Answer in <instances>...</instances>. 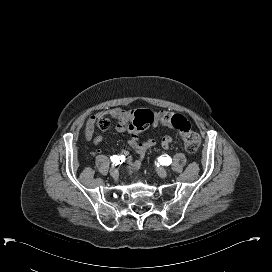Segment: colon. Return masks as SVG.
Wrapping results in <instances>:
<instances>
[{
	"mask_svg": "<svg viewBox=\"0 0 272 272\" xmlns=\"http://www.w3.org/2000/svg\"><path fill=\"white\" fill-rule=\"evenodd\" d=\"M150 119L151 115L149 112H137L134 116L131 127L133 129H143L149 124ZM170 122L171 125L180 132L185 150L188 153H195L200 145V137L199 134L193 130L187 119L180 114H176L171 117ZM95 125L98 128L105 130L109 127L110 121L106 117H100L97 119Z\"/></svg>",
	"mask_w": 272,
	"mask_h": 272,
	"instance_id": "colon-1",
	"label": "colon"
}]
</instances>
